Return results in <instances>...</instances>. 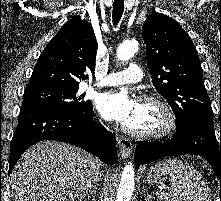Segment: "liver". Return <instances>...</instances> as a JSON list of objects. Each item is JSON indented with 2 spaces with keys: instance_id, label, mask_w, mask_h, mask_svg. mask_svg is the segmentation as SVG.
Instances as JSON below:
<instances>
[{
  "instance_id": "1",
  "label": "liver",
  "mask_w": 221,
  "mask_h": 201,
  "mask_svg": "<svg viewBox=\"0 0 221 201\" xmlns=\"http://www.w3.org/2000/svg\"><path fill=\"white\" fill-rule=\"evenodd\" d=\"M96 157L75 146L42 141L16 163L10 185L13 201H80L93 183Z\"/></svg>"
}]
</instances>
